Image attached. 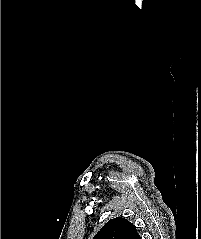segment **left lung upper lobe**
<instances>
[{
	"mask_svg": "<svg viewBox=\"0 0 201 239\" xmlns=\"http://www.w3.org/2000/svg\"><path fill=\"white\" fill-rule=\"evenodd\" d=\"M93 239H141L136 227L125 218H114L108 221Z\"/></svg>",
	"mask_w": 201,
	"mask_h": 239,
	"instance_id": "1",
	"label": "left lung upper lobe"
}]
</instances>
